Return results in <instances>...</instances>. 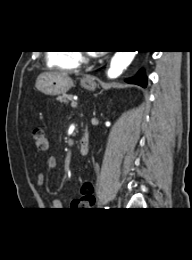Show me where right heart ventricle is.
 Here are the masks:
<instances>
[{
	"label": "right heart ventricle",
	"mask_w": 192,
	"mask_h": 260,
	"mask_svg": "<svg viewBox=\"0 0 192 260\" xmlns=\"http://www.w3.org/2000/svg\"><path fill=\"white\" fill-rule=\"evenodd\" d=\"M47 61L49 66L72 70L79 66L80 57L76 51H56L47 55Z\"/></svg>",
	"instance_id": "e07e8e85"
}]
</instances>
